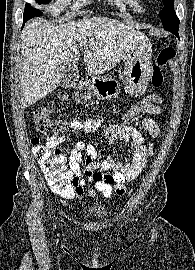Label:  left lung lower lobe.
I'll return each instance as SVG.
<instances>
[{
	"mask_svg": "<svg viewBox=\"0 0 195 270\" xmlns=\"http://www.w3.org/2000/svg\"><path fill=\"white\" fill-rule=\"evenodd\" d=\"M178 38H179V34L178 33H174Z\"/></svg>",
	"mask_w": 195,
	"mask_h": 270,
	"instance_id": "1",
	"label": "left lung lower lobe"
}]
</instances>
